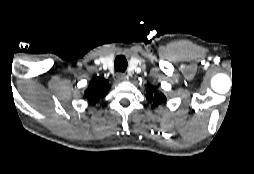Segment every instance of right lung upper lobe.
Returning a JSON list of instances; mask_svg holds the SVG:
<instances>
[{"instance_id": "cb5924a9", "label": "right lung upper lobe", "mask_w": 254, "mask_h": 174, "mask_svg": "<svg viewBox=\"0 0 254 174\" xmlns=\"http://www.w3.org/2000/svg\"><path fill=\"white\" fill-rule=\"evenodd\" d=\"M110 89V84L108 81L99 77L94 78L85 91V98L90 103H95L104 97Z\"/></svg>"}]
</instances>
